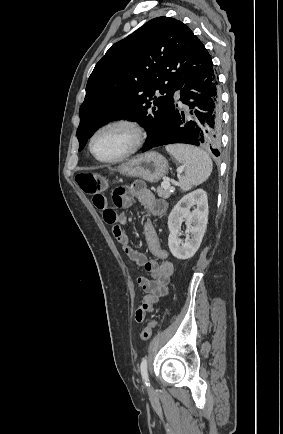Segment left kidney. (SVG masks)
I'll use <instances>...</instances> for the list:
<instances>
[{
	"mask_svg": "<svg viewBox=\"0 0 283 434\" xmlns=\"http://www.w3.org/2000/svg\"><path fill=\"white\" fill-rule=\"evenodd\" d=\"M193 207V211L190 208ZM187 221V241L182 243L180 226ZM208 222V199L203 189L183 196L168 217V246L174 257L186 260L194 256L200 247Z\"/></svg>",
	"mask_w": 283,
	"mask_h": 434,
	"instance_id": "5707ae66",
	"label": "left kidney"
}]
</instances>
